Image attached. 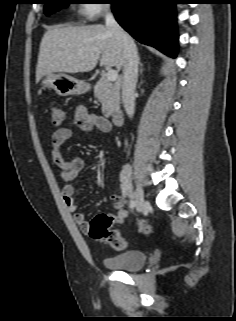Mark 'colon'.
Instances as JSON below:
<instances>
[{"mask_svg":"<svg viewBox=\"0 0 236 321\" xmlns=\"http://www.w3.org/2000/svg\"><path fill=\"white\" fill-rule=\"evenodd\" d=\"M50 113L54 125H60L65 120V111L59 106H52ZM123 217L124 211H119L116 214H99L89 222L87 233L91 238L105 242L115 250H123L126 247V241L118 230L112 228L113 224L120 222ZM136 226L143 234H148L151 231L149 223L144 219H138Z\"/></svg>","mask_w":236,"mask_h":321,"instance_id":"1","label":"colon"}]
</instances>
